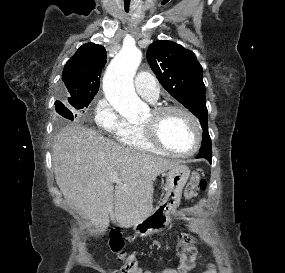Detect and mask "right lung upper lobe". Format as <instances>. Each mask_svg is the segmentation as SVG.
Listing matches in <instances>:
<instances>
[{
  "label": "right lung upper lobe",
  "instance_id": "obj_1",
  "mask_svg": "<svg viewBox=\"0 0 285 273\" xmlns=\"http://www.w3.org/2000/svg\"><path fill=\"white\" fill-rule=\"evenodd\" d=\"M105 63L106 50L102 45L83 44L64 66L62 80L70 95L68 99L93 98Z\"/></svg>",
  "mask_w": 285,
  "mask_h": 273
}]
</instances>
